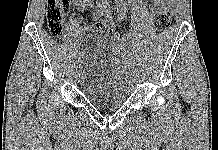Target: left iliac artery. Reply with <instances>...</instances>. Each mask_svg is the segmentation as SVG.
Masks as SVG:
<instances>
[{"mask_svg": "<svg viewBox=\"0 0 218 150\" xmlns=\"http://www.w3.org/2000/svg\"><path fill=\"white\" fill-rule=\"evenodd\" d=\"M107 12H108V10H107ZM108 15H109V14H108ZM128 70H129V74L134 73V71L136 70V67H135V66H132V67H130Z\"/></svg>", "mask_w": 218, "mask_h": 150, "instance_id": "44dca946", "label": "left iliac artery"}]
</instances>
